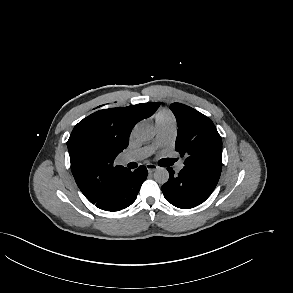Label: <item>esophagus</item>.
I'll return each instance as SVG.
<instances>
[{
  "label": "esophagus",
  "mask_w": 293,
  "mask_h": 293,
  "mask_svg": "<svg viewBox=\"0 0 293 293\" xmlns=\"http://www.w3.org/2000/svg\"><path fill=\"white\" fill-rule=\"evenodd\" d=\"M146 168L149 172H154L158 169V166L152 163L146 164Z\"/></svg>",
  "instance_id": "esophagus-1"
}]
</instances>
